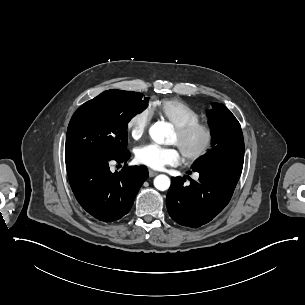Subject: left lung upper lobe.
Returning <instances> with one entry per match:
<instances>
[{
  "label": "left lung upper lobe",
  "mask_w": 305,
  "mask_h": 305,
  "mask_svg": "<svg viewBox=\"0 0 305 305\" xmlns=\"http://www.w3.org/2000/svg\"><path fill=\"white\" fill-rule=\"evenodd\" d=\"M213 148L194 166L233 164L243 166L244 140L238 120L223 105L213 103L207 113Z\"/></svg>",
  "instance_id": "5c2ea615"
}]
</instances>
